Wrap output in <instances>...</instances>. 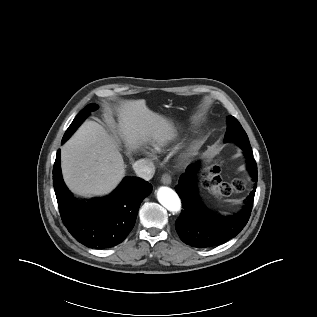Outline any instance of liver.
Here are the masks:
<instances>
[{
  "mask_svg": "<svg viewBox=\"0 0 317 317\" xmlns=\"http://www.w3.org/2000/svg\"><path fill=\"white\" fill-rule=\"evenodd\" d=\"M117 116L118 133L132 151L167 134L165 118L150 110L144 99L121 102ZM61 167L67 186L82 196L110 193L126 168L115 137L94 121L84 122L62 146Z\"/></svg>",
  "mask_w": 317,
  "mask_h": 317,
  "instance_id": "liver-1",
  "label": "liver"
}]
</instances>
